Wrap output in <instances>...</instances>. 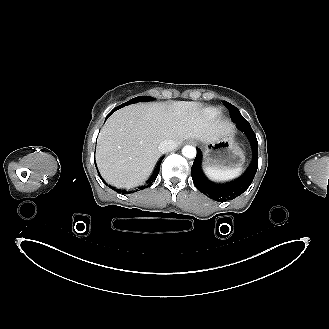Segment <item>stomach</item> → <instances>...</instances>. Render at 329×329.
Returning a JSON list of instances; mask_svg holds the SVG:
<instances>
[{
    "label": "stomach",
    "mask_w": 329,
    "mask_h": 329,
    "mask_svg": "<svg viewBox=\"0 0 329 329\" xmlns=\"http://www.w3.org/2000/svg\"><path fill=\"white\" fill-rule=\"evenodd\" d=\"M245 154L235 142L233 133L204 145V161L206 168L231 170L242 168Z\"/></svg>",
    "instance_id": "obj_1"
}]
</instances>
